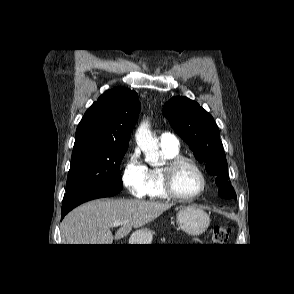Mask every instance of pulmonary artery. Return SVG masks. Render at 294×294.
Here are the masks:
<instances>
[{
	"instance_id": "obj_1",
	"label": "pulmonary artery",
	"mask_w": 294,
	"mask_h": 294,
	"mask_svg": "<svg viewBox=\"0 0 294 294\" xmlns=\"http://www.w3.org/2000/svg\"><path fill=\"white\" fill-rule=\"evenodd\" d=\"M159 144L161 147L168 149H179L178 139L171 133L165 132L159 136Z\"/></svg>"
}]
</instances>
